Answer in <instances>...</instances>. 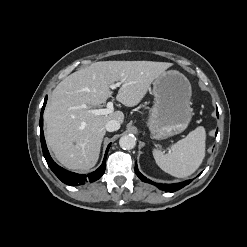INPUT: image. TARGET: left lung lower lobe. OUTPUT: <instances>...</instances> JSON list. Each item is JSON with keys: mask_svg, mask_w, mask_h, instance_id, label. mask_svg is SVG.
<instances>
[{"mask_svg": "<svg viewBox=\"0 0 247 247\" xmlns=\"http://www.w3.org/2000/svg\"><path fill=\"white\" fill-rule=\"evenodd\" d=\"M218 115V112H217ZM217 134V133H216ZM135 173L136 175L143 181L146 183H150L155 185L156 187H158L160 190L165 191V192H174L176 190H179L181 188H183L185 185L189 184L191 182V180H187L185 182H181V183H175V184H157L152 182L151 180L147 179L146 177H144L137 168V164H135Z\"/></svg>", "mask_w": 247, "mask_h": 247, "instance_id": "1", "label": "left lung lower lobe"}]
</instances>
